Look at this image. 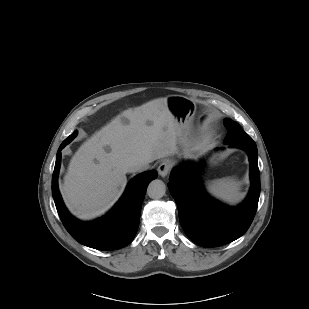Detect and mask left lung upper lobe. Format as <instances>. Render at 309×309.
Masks as SVG:
<instances>
[{
	"label": "left lung upper lobe",
	"mask_w": 309,
	"mask_h": 309,
	"mask_svg": "<svg viewBox=\"0 0 309 309\" xmlns=\"http://www.w3.org/2000/svg\"><path fill=\"white\" fill-rule=\"evenodd\" d=\"M225 127L228 130V134L225 138V143H230L233 140H245L251 138L241 127L230 119H225Z\"/></svg>",
	"instance_id": "5c2ea615"
}]
</instances>
